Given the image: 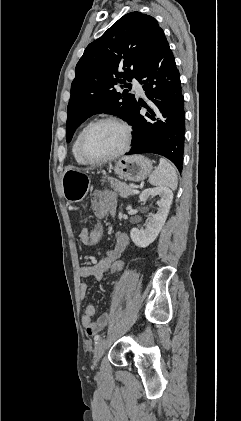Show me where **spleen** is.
Wrapping results in <instances>:
<instances>
[{"label": "spleen", "mask_w": 241, "mask_h": 421, "mask_svg": "<svg viewBox=\"0 0 241 421\" xmlns=\"http://www.w3.org/2000/svg\"><path fill=\"white\" fill-rule=\"evenodd\" d=\"M149 183L154 186L170 187L175 190L178 178L175 168L164 158H160L158 167L149 177Z\"/></svg>", "instance_id": "obj_1"}]
</instances>
